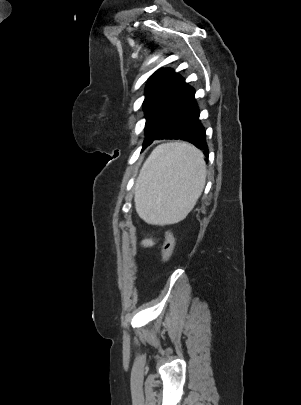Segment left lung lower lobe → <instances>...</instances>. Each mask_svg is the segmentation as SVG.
Masks as SVG:
<instances>
[{
  "mask_svg": "<svg viewBox=\"0 0 301 405\" xmlns=\"http://www.w3.org/2000/svg\"><path fill=\"white\" fill-rule=\"evenodd\" d=\"M194 94V89L188 86L185 94L173 106L160 128L152 135L145 137L143 149L154 140L180 139L194 144L208 158L205 129L199 120L200 113Z\"/></svg>",
  "mask_w": 301,
  "mask_h": 405,
  "instance_id": "1",
  "label": "left lung lower lobe"
}]
</instances>
